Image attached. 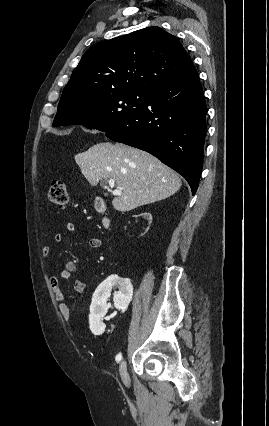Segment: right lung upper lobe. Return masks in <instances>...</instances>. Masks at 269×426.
I'll list each match as a JSON object with an SVG mask.
<instances>
[{
    "label": "right lung upper lobe",
    "mask_w": 269,
    "mask_h": 426,
    "mask_svg": "<svg viewBox=\"0 0 269 426\" xmlns=\"http://www.w3.org/2000/svg\"><path fill=\"white\" fill-rule=\"evenodd\" d=\"M180 41L159 27H148L90 47L61 98H90L117 92H144L192 71Z\"/></svg>",
    "instance_id": "cb5924a9"
}]
</instances>
